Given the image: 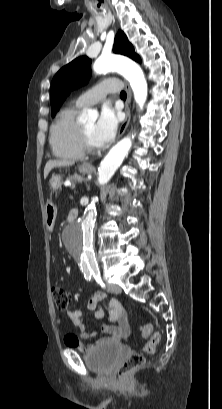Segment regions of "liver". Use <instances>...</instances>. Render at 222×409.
Masks as SVG:
<instances>
[{
	"instance_id": "obj_1",
	"label": "liver",
	"mask_w": 222,
	"mask_h": 409,
	"mask_svg": "<svg viewBox=\"0 0 222 409\" xmlns=\"http://www.w3.org/2000/svg\"><path fill=\"white\" fill-rule=\"evenodd\" d=\"M74 164V161H69V160H49L44 168V178H46L49 174V172L54 168V167H64V166H71Z\"/></svg>"
}]
</instances>
